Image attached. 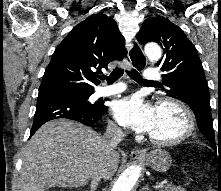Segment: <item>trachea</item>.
<instances>
[{"instance_id":"obj_1","label":"trachea","mask_w":221,"mask_h":191,"mask_svg":"<svg viewBox=\"0 0 221 191\" xmlns=\"http://www.w3.org/2000/svg\"><path fill=\"white\" fill-rule=\"evenodd\" d=\"M124 73V70L121 68H115L110 76H101V80H107L108 83H113L114 81L118 80ZM128 75L135 80L136 82L139 83H146V84H158L157 82H151V81H146L142 78V76L135 70L132 71H127Z\"/></svg>"}]
</instances>
